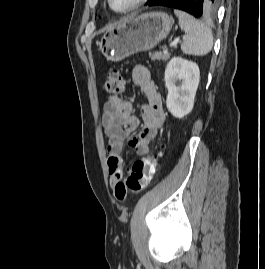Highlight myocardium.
I'll use <instances>...</instances> for the list:
<instances>
[{"label":"myocardium","mask_w":265,"mask_h":269,"mask_svg":"<svg viewBox=\"0 0 265 269\" xmlns=\"http://www.w3.org/2000/svg\"><path fill=\"white\" fill-rule=\"evenodd\" d=\"M147 1L148 0H134L129 6H127L124 9H115L113 7L112 0H107V3L112 11H114L115 13L123 14V13H128V12H131V11L137 9L138 7H140L141 5L146 3Z\"/></svg>","instance_id":"f54148a6"}]
</instances>
